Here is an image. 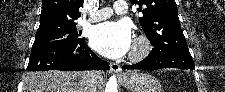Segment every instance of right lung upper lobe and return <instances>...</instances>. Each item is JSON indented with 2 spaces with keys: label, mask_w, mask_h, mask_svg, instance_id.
<instances>
[{
  "label": "right lung upper lobe",
  "mask_w": 225,
  "mask_h": 92,
  "mask_svg": "<svg viewBox=\"0 0 225 92\" xmlns=\"http://www.w3.org/2000/svg\"><path fill=\"white\" fill-rule=\"evenodd\" d=\"M84 0H42L40 24L74 22L81 16L78 11Z\"/></svg>",
  "instance_id": "right-lung-upper-lobe-1"
}]
</instances>
